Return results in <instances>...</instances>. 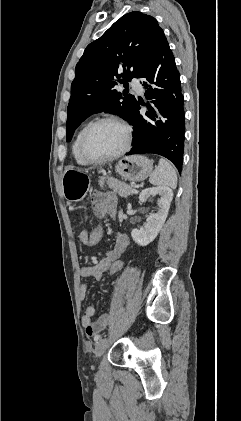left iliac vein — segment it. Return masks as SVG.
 I'll return each instance as SVG.
<instances>
[{"label": "left iliac vein", "instance_id": "4c4485c4", "mask_svg": "<svg viewBox=\"0 0 241 421\" xmlns=\"http://www.w3.org/2000/svg\"><path fill=\"white\" fill-rule=\"evenodd\" d=\"M107 347V339H101L97 342L94 350L95 358L99 359L105 352Z\"/></svg>", "mask_w": 241, "mask_h": 421}]
</instances>
